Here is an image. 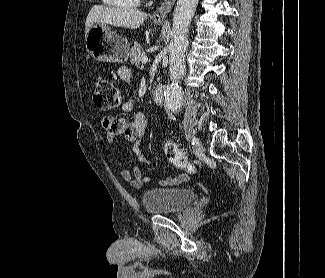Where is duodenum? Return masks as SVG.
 <instances>
[{
    "label": "duodenum",
    "instance_id": "410a0bca",
    "mask_svg": "<svg viewBox=\"0 0 325 278\" xmlns=\"http://www.w3.org/2000/svg\"><path fill=\"white\" fill-rule=\"evenodd\" d=\"M153 98L158 106H161L164 102V90L161 84H156L153 89Z\"/></svg>",
    "mask_w": 325,
    "mask_h": 278
}]
</instances>
